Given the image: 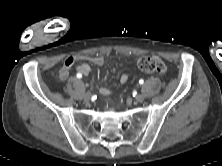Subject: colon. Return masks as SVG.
<instances>
[{"instance_id":"obj_1","label":"colon","mask_w":222,"mask_h":166,"mask_svg":"<svg viewBox=\"0 0 222 166\" xmlns=\"http://www.w3.org/2000/svg\"><path fill=\"white\" fill-rule=\"evenodd\" d=\"M138 67L141 71L145 73H158L162 74L166 72L165 63L158 57L155 56H145L139 59Z\"/></svg>"}]
</instances>
